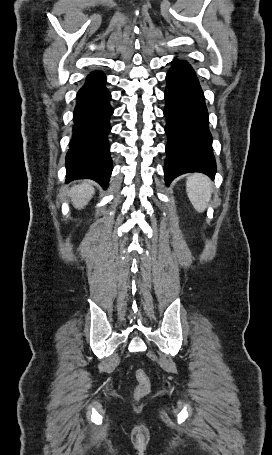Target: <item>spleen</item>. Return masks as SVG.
Returning a JSON list of instances; mask_svg holds the SVG:
<instances>
[{
	"label": "spleen",
	"mask_w": 272,
	"mask_h": 455,
	"mask_svg": "<svg viewBox=\"0 0 272 455\" xmlns=\"http://www.w3.org/2000/svg\"><path fill=\"white\" fill-rule=\"evenodd\" d=\"M186 190L195 210L199 213L204 212L213 191L210 179L200 173L193 174L187 178Z\"/></svg>",
	"instance_id": "spleen-1"
}]
</instances>
